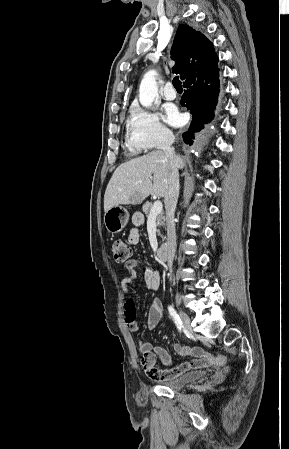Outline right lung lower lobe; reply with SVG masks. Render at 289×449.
<instances>
[{
	"label": "right lung lower lobe",
	"instance_id": "right-lung-lower-lobe-1",
	"mask_svg": "<svg viewBox=\"0 0 289 449\" xmlns=\"http://www.w3.org/2000/svg\"><path fill=\"white\" fill-rule=\"evenodd\" d=\"M186 88L181 105L187 107L192 114L191 126L183 134V140L192 144L194 133L204 128V124L213 118V110L217 104L219 93L218 64L213 66L205 76L183 84Z\"/></svg>",
	"mask_w": 289,
	"mask_h": 449
}]
</instances>
